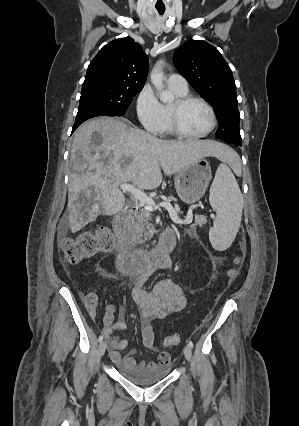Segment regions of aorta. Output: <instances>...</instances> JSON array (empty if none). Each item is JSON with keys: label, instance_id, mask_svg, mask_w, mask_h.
<instances>
[{"label": "aorta", "instance_id": "aorta-1", "mask_svg": "<svg viewBox=\"0 0 299 426\" xmlns=\"http://www.w3.org/2000/svg\"><path fill=\"white\" fill-rule=\"evenodd\" d=\"M163 60L157 61L155 66L153 67L151 74H150V80L151 83L154 85L156 90L159 93V98L162 102L168 103L173 101L174 95L172 92L167 91L164 89V73H163Z\"/></svg>", "mask_w": 299, "mask_h": 426}]
</instances>
